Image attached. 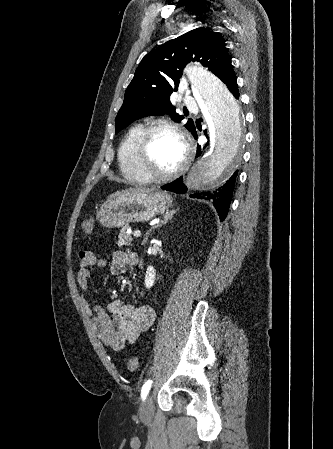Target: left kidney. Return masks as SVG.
<instances>
[{"label":"left kidney","instance_id":"obj_1","mask_svg":"<svg viewBox=\"0 0 333 449\" xmlns=\"http://www.w3.org/2000/svg\"><path fill=\"white\" fill-rule=\"evenodd\" d=\"M155 276V269L152 266H149L145 274V287L147 289L151 288L154 285L156 279Z\"/></svg>","mask_w":333,"mask_h":449}]
</instances>
